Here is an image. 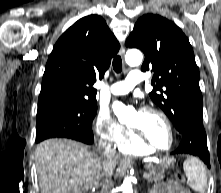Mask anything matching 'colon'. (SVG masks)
Segmentation results:
<instances>
[{
  "instance_id": "1",
  "label": "colon",
  "mask_w": 221,
  "mask_h": 193,
  "mask_svg": "<svg viewBox=\"0 0 221 193\" xmlns=\"http://www.w3.org/2000/svg\"><path fill=\"white\" fill-rule=\"evenodd\" d=\"M176 178L179 180V181H182L183 180V175L181 172L177 171L176 172Z\"/></svg>"
}]
</instances>
